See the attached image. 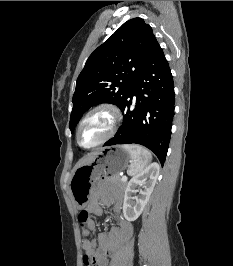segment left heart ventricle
Returning <instances> with one entry per match:
<instances>
[{
	"label": "left heart ventricle",
	"mask_w": 233,
	"mask_h": 266,
	"mask_svg": "<svg viewBox=\"0 0 233 266\" xmlns=\"http://www.w3.org/2000/svg\"><path fill=\"white\" fill-rule=\"evenodd\" d=\"M112 116L107 111L93 114L82 126L80 140L85 146H90L100 141L109 131Z\"/></svg>",
	"instance_id": "b2bd125f"
}]
</instances>
